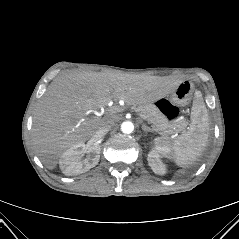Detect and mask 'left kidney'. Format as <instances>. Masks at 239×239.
Returning a JSON list of instances; mask_svg holds the SVG:
<instances>
[{"label": "left kidney", "mask_w": 239, "mask_h": 239, "mask_svg": "<svg viewBox=\"0 0 239 239\" xmlns=\"http://www.w3.org/2000/svg\"><path fill=\"white\" fill-rule=\"evenodd\" d=\"M148 163L154 173L164 175L166 173V167L160 160V155L157 150H151L148 153Z\"/></svg>", "instance_id": "left-kidney-1"}]
</instances>
